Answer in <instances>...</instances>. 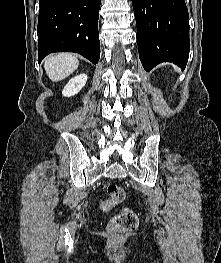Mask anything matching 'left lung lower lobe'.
<instances>
[{
  "label": "left lung lower lobe",
  "mask_w": 221,
  "mask_h": 263,
  "mask_svg": "<svg viewBox=\"0 0 221 263\" xmlns=\"http://www.w3.org/2000/svg\"><path fill=\"white\" fill-rule=\"evenodd\" d=\"M139 57L144 69L161 62L185 68L190 51L185 0H132Z\"/></svg>",
  "instance_id": "obj_1"
}]
</instances>
